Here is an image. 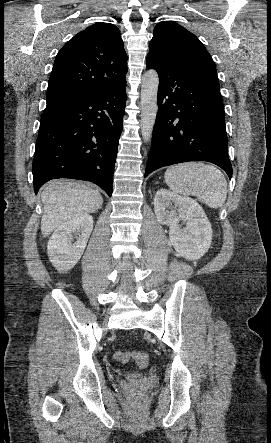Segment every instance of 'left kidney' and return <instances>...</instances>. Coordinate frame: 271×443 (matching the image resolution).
<instances>
[{
    "label": "left kidney",
    "instance_id": "obj_1",
    "mask_svg": "<svg viewBox=\"0 0 271 443\" xmlns=\"http://www.w3.org/2000/svg\"><path fill=\"white\" fill-rule=\"evenodd\" d=\"M154 212L159 223L169 225L171 245L179 255L185 259H200L208 251L213 231L196 200L178 196L169 190H158L154 198ZM180 220L186 223L183 229Z\"/></svg>",
    "mask_w": 271,
    "mask_h": 443
}]
</instances>
